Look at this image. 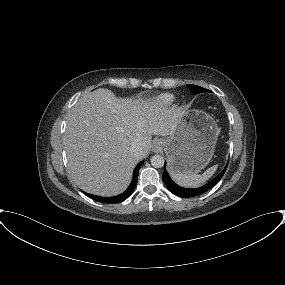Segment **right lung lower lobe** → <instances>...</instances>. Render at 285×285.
<instances>
[{
    "instance_id": "98d812e1",
    "label": "right lung lower lobe",
    "mask_w": 285,
    "mask_h": 285,
    "mask_svg": "<svg viewBox=\"0 0 285 285\" xmlns=\"http://www.w3.org/2000/svg\"><path fill=\"white\" fill-rule=\"evenodd\" d=\"M143 164V161H141L134 169L133 172V179L129 185V187L122 193L119 194L117 196H113V197H101V196H97V195H92V194H88L85 193L88 197H90L91 199H94L96 201H99L101 203H119L121 201H124L125 199H127L132 192L134 191V188L137 184V180H138V173H139V169L141 167V165Z\"/></svg>"
}]
</instances>
